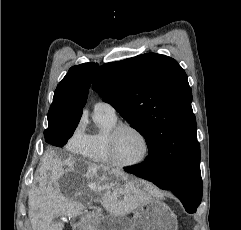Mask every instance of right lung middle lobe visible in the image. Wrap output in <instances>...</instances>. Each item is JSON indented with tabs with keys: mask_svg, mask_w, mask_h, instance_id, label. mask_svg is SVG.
I'll return each mask as SVG.
<instances>
[{
	"mask_svg": "<svg viewBox=\"0 0 241 230\" xmlns=\"http://www.w3.org/2000/svg\"><path fill=\"white\" fill-rule=\"evenodd\" d=\"M79 122L76 121H52L48 122V128L44 131L47 143L63 147L73 135Z\"/></svg>",
	"mask_w": 241,
	"mask_h": 230,
	"instance_id": "dd1d6c3e",
	"label": "right lung middle lobe"
}]
</instances>
